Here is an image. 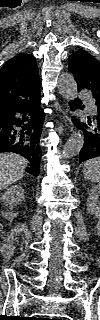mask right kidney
I'll return each mask as SVG.
<instances>
[{"label":"right kidney","instance_id":"obj_1","mask_svg":"<svg viewBox=\"0 0 100 320\" xmlns=\"http://www.w3.org/2000/svg\"><path fill=\"white\" fill-rule=\"evenodd\" d=\"M0 200L10 209V211L2 212V217L12 222L16 217V214L12 212L13 207L24 200V189L20 185H13L1 194Z\"/></svg>","mask_w":100,"mask_h":320}]
</instances>
